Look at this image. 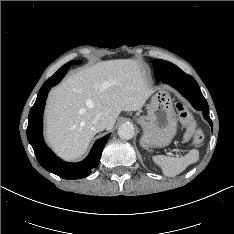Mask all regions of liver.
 <instances>
[{"mask_svg": "<svg viewBox=\"0 0 234 234\" xmlns=\"http://www.w3.org/2000/svg\"><path fill=\"white\" fill-rule=\"evenodd\" d=\"M153 93L132 60H110L81 69L49 93L45 108L46 139L63 159L73 161L86 152L99 115L106 129L121 111L141 109Z\"/></svg>", "mask_w": 234, "mask_h": 234, "instance_id": "6515ba94", "label": "liver"}]
</instances>
